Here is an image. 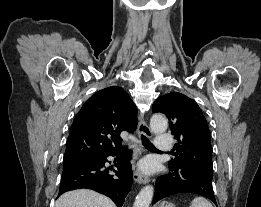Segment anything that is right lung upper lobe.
<instances>
[{
	"label": "right lung upper lobe",
	"instance_id": "right-lung-upper-lobe-1",
	"mask_svg": "<svg viewBox=\"0 0 261 207\" xmlns=\"http://www.w3.org/2000/svg\"><path fill=\"white\" fill-rule=\"evenodd\" d=\"M136 128L137 108L128 93L117 86L102 89L91 96L76 115L64 161L119 151L120 133L133 132Z\"/></svg>",
	"mask_w": 261,
	"mask_h": 207
}]
</instances>
